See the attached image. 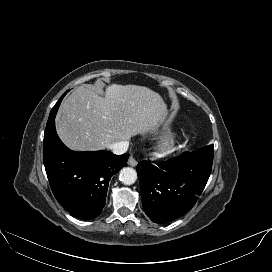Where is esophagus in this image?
Segmentation results:
<instances>
[{
	"mask_svg": "<svg viewBox=\"0 0 272 272\" xmlns=\"http://www.w3.org/2000/svg\"><path fill=\"white\" fill-rule=\"evenodd\" d=\"M128 165L132 166V167H135L137 165V161L134 157H130L129 160H128Z\"/></svg>",
	"mask_w": 272,
	"mask_h": 272,
	"instance_id": "1",
	"label": "esophagus"
}]
</instances>
